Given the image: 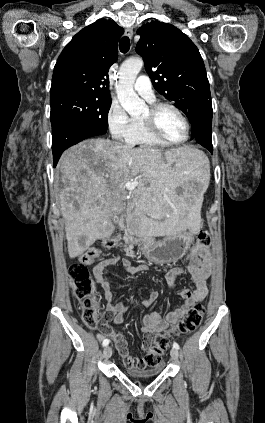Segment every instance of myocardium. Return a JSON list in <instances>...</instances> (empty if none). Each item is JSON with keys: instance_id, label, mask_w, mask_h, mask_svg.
<instances>
[{"instance_id": "1", "label": "myocardium", "mask_w": 265, "mask_h": 423, "mask_svg": "<svg viewBox=\"0 0 265 423\" xmlns=\"http://www.w3.org/2000/svg\"><path fill=\"white\" fill-rule=\"evenodd\" d=\"M163 109H170L174 111L182 119L186 129L185 137L182 140L172 141L166 138L162 134V132L159 130L157 122H156V117L158 113ZM148 112H149L148 116L146 118H143L141 121L143 122L147 131L153 137L165 143L166 145H181L188 141L190 137V132H191L190 122L188 118L186 117V115L184 114V112L181 109H179L177 106L171 103H165V102L153 103L149 106Z\"/></svg>"}]
</instances>
